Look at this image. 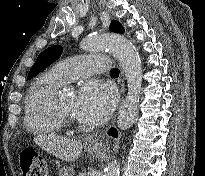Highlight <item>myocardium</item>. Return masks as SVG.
<instances>
[{
  "instance_id": "1",
  "label": "myocardium",
  "mask_w": 205,
  "mask_h": 176,
  "mask_svg": "<svg viewBox=\"0 0 205 176\" xmlns=\"http://www.w3.org/2000/svg\"><path fill=\"white\" fill-rule=\"evenodd\" d=\"M54 110L56 116L61 120L62 124H71L76 121L75 115L66 111L57 98H55Z\"/></svg>"
}]
</instances>
